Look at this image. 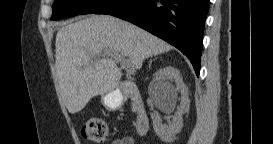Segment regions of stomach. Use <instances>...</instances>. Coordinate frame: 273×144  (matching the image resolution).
Masks as SVG:
<instances>
[{"mask_svg": "<svg viewBox=\"0 0 273 144\" xmlns=\"http://www.w3.org/2000/svg\"><path fill=\"white\" fill-rule=\"evenodd\" d=\"M101 102L108 111H115L122 106L124 97L122 93L116 89L109 93L103 94L101 97Z\"/></svg>", "mask_w": 273, "mask_h": 144, "instance_id": "stomach-1", "label": "stomach"}]
</instances>
